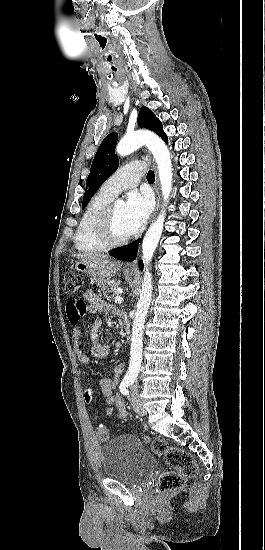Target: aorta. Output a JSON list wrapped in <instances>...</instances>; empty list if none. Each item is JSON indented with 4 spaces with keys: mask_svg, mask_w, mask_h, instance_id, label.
Wrapping results in <instances>:
<instances>
[{
    "mask_svg": "<svg viewBox=\"0 0 265 550\" xmlns=\"http://www.w3.org/2000/svg\"><path fill=\"white\" fill-rule=\"evenodd\" d=\"M146 145L153 154L157 165L164 202H168L172 190V163L170 152L166 144L156 135L150 132H134L125 135L116 147V151L121 156H126ZM165 205V204H164ZM165 220V210L162 209L157 219L147 230L142 243V253L144 260V278L140 299L132 326L130 365L128 373L137 375L142 363L143 349V328L145 319L152 299V274L149 270L150 262L159 243Z\"/></svg>",
    "mask_w": 265,
    "mask_h": 550,
    "instance_id": "762f6f07",
    "label": "aorta"
}]
</instances>
